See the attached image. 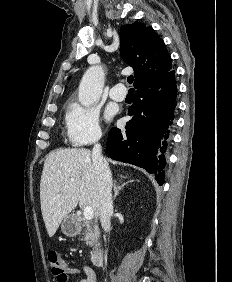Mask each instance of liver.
<instances>
[{
  "mask_svg": "<svg viewBox=\"0 0 232 282\" xmlns=\"http://www.w3.org/2000/svg\"><path fill=\"white\" fill-rule=\"evenodd\" d=\"M40 201L49 237L78 203L80 207H92L99 215L98 183L90 150L60 149L47 156L41 175Z\"/></svg>",
  "mask_w": 232,
  "mask_h": 282,
  "instance_id": "obj_1",
  "label": "liver"
}]
</instances>
